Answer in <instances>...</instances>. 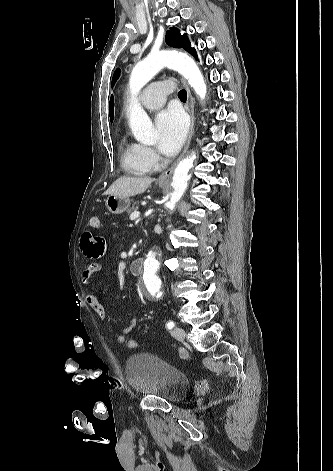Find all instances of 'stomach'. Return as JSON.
Masks as SVG:
<instances>
[{
    "instance_id": "obj_1",
    "label": "stomach",
    "mask_w": 333,
    "mask_h": 471,
    "mask_svg": "<svg viewBox=\"0 0 333 471\" xmlns=\"http://www.w3.org/2000/svg\"><path fill=\"white\" fill-rule=\"evenodd\" d=\"M166 184L159 183V187L163 188ZM130 199L128 197L109 195L105 200L106 207L112 214H121L125 212L130 206Z\"/></svg>"
}]
</instances>
